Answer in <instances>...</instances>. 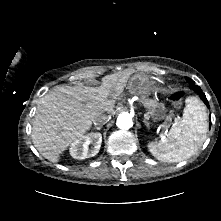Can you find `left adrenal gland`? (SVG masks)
<instances>
[{"label":"left adrenal gland","mask_w":221,"mask_h":221,"mask_svg":"<svg viewBox=\"0 0 221 221\" xmlns=\"http://www.w3.org/2000/svg\"><path fill=\"white\" fill-rule=\"evenodd\" d=\"M143 122L145 123V125H146L147 128L150 127V123L146 120V118L143 120Z\"/></svg>","instance_id":"1"}]
</instances>
